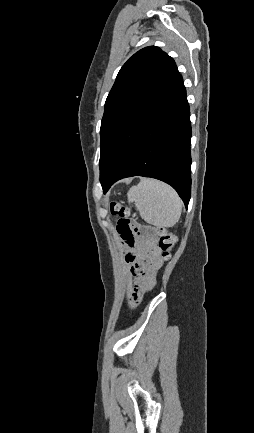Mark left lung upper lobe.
I'll return each mask as SVG.
<instances>
[{"label":"left lung upper lobe","instance_id":"1","mask_svg":"<svg viewBox=\"0 0 254 433\" xmlns=\"http://www.w3.org/2000/svg\"><path fill=\"white\" fill-rule=\"evenodd\" d=\"M179 75L174 60L155 46L139 50L122 66L101 122V184L122 162L139 129Z\"/></svg>","mask_w":254,"mask_h":433}]
</instances>
